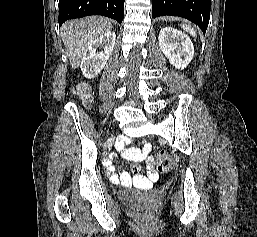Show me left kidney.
<instances>
[{"label": "left kidney", "mask_w": 257, "mask_h": 237, "mask_svg": "<svg viewBox=\"0 0 257 237\" xmlns=\"http://www.w3.org/2000/svg\"><path fill=\"white\" fill-rule=\"evenodd\" d=\"M158 41L161 51L176 68H186L193 59L194 46L184 33L165 27L160 30Z\"/></svg>", "instance_id": "1"}]
</instances>
